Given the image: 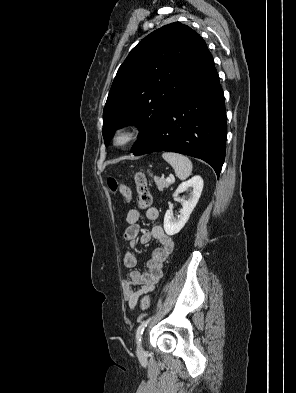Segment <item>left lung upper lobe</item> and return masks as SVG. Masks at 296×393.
Segmentation results:
<instances>
[{
  "label": "left lung upper lobe",
  "instance_id": "obj_1",
  "mask_svg": "<svg viewBox=\"0 0 296 393\" xmlns=\"http://www.w3.org/2000/svg\"><path fill=\"white\" fill-rule=\"evenodd\" d=\"M210 56L200 35L179 22L142 39L112 83L103 111L105 145L119 127L134 124L141 133L132 147L134 152L150 137L172 101Z\"/></svg>",
  "mask_w": 296,
  "mask_h": 393
}]
</instances>
